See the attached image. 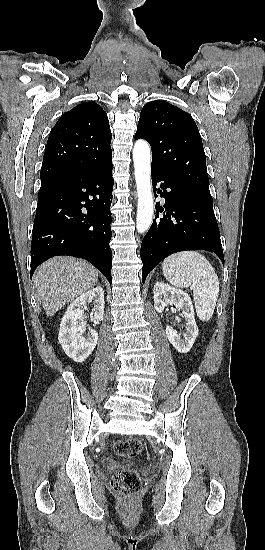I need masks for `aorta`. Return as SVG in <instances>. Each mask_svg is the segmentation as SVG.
<instances>
[{
	"instance_id": "1",
	"label": "aorta",
	"mask_w": 265,
	"mask_h": 550,
	"mask_svg": "<svg viewBox=\"0 0 265 550\" xmlns=\"http://www.w3.org/2000/svg\"><path fill=\"white\" fill-rule=\"evenodd\" d=\"M133 161L138 195L136 228L138 233L143 234L150 228L154 214L150 180L151 153L146 141H136L133 148Z\"/></svg>"
}]
</instances>
